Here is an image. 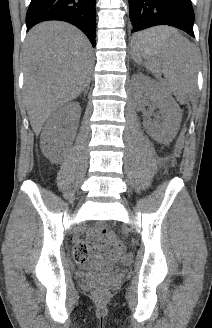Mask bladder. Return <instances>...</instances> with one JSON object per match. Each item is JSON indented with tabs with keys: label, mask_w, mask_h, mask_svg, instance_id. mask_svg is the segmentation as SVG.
Wrapping results in <instances>:
<instances>
[{
	"label": "bladder",
	"mask_w": 212,
	"mask_h": 328,
	"mask_svg": "<svg viewBox=\"0 0 212 328\" xmlns=\"http://www.w3.org/2000/svg\"><path fill=\"white\" fill-rule=\"evenodd\" d=\"M89 276H90V274H88V273L83 274V277H85V278H88Z\"/></svg>",
	"instance_id": "1"
}]
</instances>
